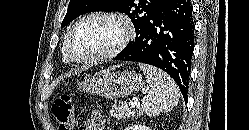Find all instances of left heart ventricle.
<instances>
[{
	"label": "left heart ventricle",
	"instance_id": "b2bd125f",
	"mask_svg": "<svg viewBox=\"0 0 249 130\" xmlns=\"http://www.w3.org/2000/svg\"><path fill=\"white\" fill-rule=\"evenodd\" d=\"M122 24L114 19L93 18L75 31L70 50L79 58L91 57L111 50L122 38Z\"/></svg>",
	"mask_w": 249,
	"mask_h": 130
}]
</instances>
